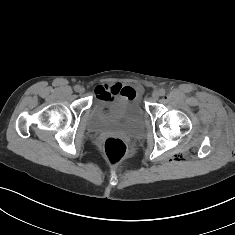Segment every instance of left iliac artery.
<instances>
[{
  "mask_svg": "<svg viewBox=\"0 0 235 235\" xmlns=\"http://www.w3.org/2000/svg\"><path fill=\"white\" fill-rule=\"evenodd\" d=\"M159 92H160V96H164L165 93H166L165 89H163V88H161V89L159 90Z\"/></svg>",
  "mask_w": 235,
  "mask_h": 235,
  "instance_id": "obj_1",
  "label": "left iliac artery"
}]
</instances>
